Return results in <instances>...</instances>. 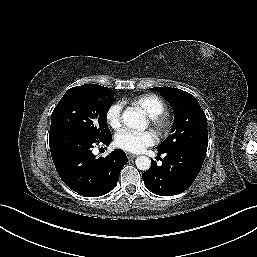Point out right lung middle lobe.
I'll return each instance as SVG.
<instances>
[{
	"label": "right lung middle lobe",
	"mask_w": 257,
	"mask_h": 257,
	"mask_svg": "<svg viewBox=\"0 0 257 257\" xmlns=\"http://www.w3.org/2000/svg\"><path fill=\"white\" fill-rule=\"evenodd\" d=\"M113 93L97 84L67 90L52 112L49 137L71 133L99 141L110 138L106 116L115 100Z\"/></svg>",
	"instance_id": "obj_1"
}]
</instances>
